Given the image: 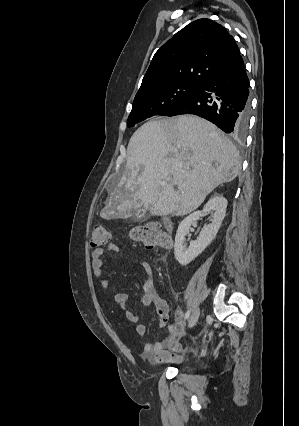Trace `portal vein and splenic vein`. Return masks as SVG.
Masks as SVG:
<instances>
[{
  "label": "portal vein and splenic vein",
  "mask_w": 299,
  "mask_h": 426,
  "mask_svg": "<svg viewBox=\"0 0 299 426\" xmlns=\"http://www.w3.org/2000/svg\"><path fill=\"white\" fill-rule=\"evenodd\" d=\"M160 184H161V186H165L166 185V183L164 181L161 182Z\"/></svg>",
  "instance_id": "18ae733b"
}]
</instances>
